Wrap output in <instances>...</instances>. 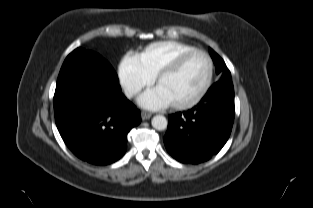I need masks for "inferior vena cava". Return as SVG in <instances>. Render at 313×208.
<instances>
[{"instance_id":"1","label":"inferior vena cava","mask_w":313,"mask_h":208,"mask_svg":"<svg viewBox=\"0 0 313 208\" xmlns=\"http://www.w3.org/2000/svg\"><path fill=\"white\" fill-rule=\"evenodd\" d=\"M138 92H139V89L135 88V87H126L124 89V93H125L126 97H128V98L133 97Z\"/></svg>"}]
</instances>
